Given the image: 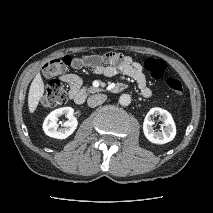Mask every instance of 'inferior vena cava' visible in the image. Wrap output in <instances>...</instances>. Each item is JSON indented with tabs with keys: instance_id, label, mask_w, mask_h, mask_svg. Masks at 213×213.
<instances>
[{
	"instance_id": "602c4592",
	"label": "inferior vena cava",
	"mask_w": 213,
	"mask_h": 213,
	"mask_svg": "<svg viewBox=\"0 0 213 213\" xmlns=\"http://www.w3.org/2000/svg\"><path fill=\"white\" fill-rule=\"evenodd\" d=\"M107 100V96L105 94H95L88 98L87 103L89 107H96L101 105Z\"/></svg>"
}]
</instances>
